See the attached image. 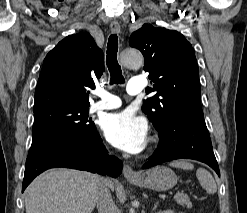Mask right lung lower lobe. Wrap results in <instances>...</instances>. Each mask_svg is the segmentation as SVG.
<instances>
[{"label":"right lung lower lobe","mask_w":247,"mask_h":213,"mask_svg":"<svg viewBox=\"0 0 247 213\" xmlns=\"http://www.w3.org/2000/svg\"><path fill=\"white\" fill-rule=\"evenodd\" d=\"M65 167L117 177L122 162L109 157L97 131L78 129L48 131L33 137L25 165L22 192L43 171Z\"/></svg>","instance_id":"98d812e1"}]
</instances>
